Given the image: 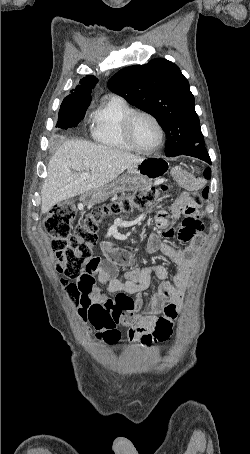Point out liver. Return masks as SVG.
Instances as JSON below:
<instances>
[{
    "instance_id": "6515ba94",
    "label": "liver",
    "mask_w": 250,
    "mask_h": 454,
    "mask_svg": "<svg viewBox=\"0 0 250 454\" xmlns=\"http://www.w3.org/2000/svg\"><path fill=\"white\" fill-rule=\"evenodd\" d=\"M143 160L129 152L84 140L64 142L48 163L41 189V212L47 213L61 201L109 184ZM84 171H90V177L81 180Z\"/></svg>"
}]
</instances>
